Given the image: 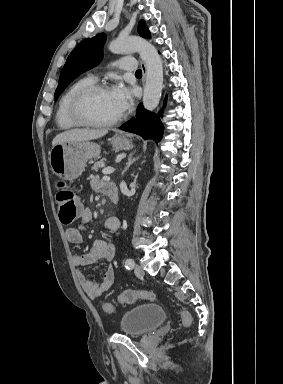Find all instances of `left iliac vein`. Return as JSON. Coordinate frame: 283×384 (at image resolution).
Instances as JSON below:
<instances>
[{
  "label": "left iliac vein",
  "instance_id": "left-iliac-vein-1",
  "mask_svg": "<svg viewBox=\"0 0 283 384\" xmlns=\"http://www.w3.org/2000/svg\"><path fill=\"white\" fill-rule=\"evenodd\" d=\"M134 273L138 278H143L144 276L143 268L140 265L135 266Z\"/></svg>",
  "mask_w": 283,
  "mask_h": 384
}]
</instances>
